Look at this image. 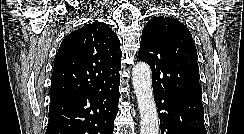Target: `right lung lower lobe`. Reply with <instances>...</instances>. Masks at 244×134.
Returning <instances> with one entry per match:
<instances>
[{
	"mask_svg": "<svg viewBox=\"0 0 244 134\" xmlns=\"http://www.w3.org/2000/svg\"><path fill=\"white\" fill-rule=\"evenodd\" d=\"M120 77L107 86L50 100L45 134H113Z\"/></svg>",
	"mask_w": 244,
	"mask_h": 134,
	"instance_id": "98d812e1",
	"label": "right lung lower lobe"
}]
</instances>
